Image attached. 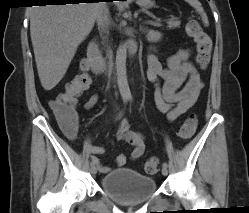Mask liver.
Masks as SVG:
<instances>
[{
  "instance_id": "6515ba94",
  "label": "liver",
  "mask_w": 249,
  "mask_h": 213,
  "mask_svg": "<svg viewBox=\"0 0 249 213\" xmlns=\"http://www.w3.org/2000/svg\"><path fill=\"white\" fill-rule=\"evenodd\" d=\"M105 2L33 6L30 36L38 76L49 91L64 77L78 46L91 32Z\"/></svg>"
}]
</instances>
